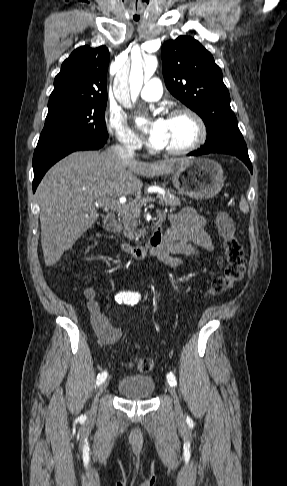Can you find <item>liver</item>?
<instances>
[{
	"instance_id": "obj_1",
	"label": "liver",
	"mask_w": 287,
	"mask_h": 486,
	"mask_svg": "<svg viewBox=\"0 0 287 486\" xmlns=\"http://www.w3.org/2000/svg\"><path fill=\"white\" fill-rule=\"evenodd\" d=\"M188 159L148 163L122 159L109 149L101 153L74 152L60 160L45 174L36 191L45 265H55L95 223L99 214L94 201L131 195L143 186L137 175L169 174Z\"/></svg>"
}]
</instances>
